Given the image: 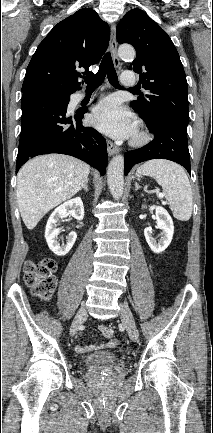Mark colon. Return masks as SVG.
<instances>
[{"label": "colon", "mask_w": 213, "mask_h": 433, "mask_svg": "<svg viewBox=\"0 0 213 433\" xmlns=\"http://www.w3.org/2000/svg\"><path fill=\"white\" fill-rule=\"evenodd\" d=\"M56 267V262L51 258L29 260L24 264V281L34 295L42 300H49L56 289ZM101 332L107 339L114 337L113 329L108 326H102Z\"/></svg>", "instance_id": "1"}]
</instances>
